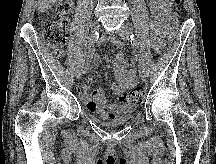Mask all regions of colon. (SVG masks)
<instances>
[{
  "mask_svg": "<svg viewBox=\"0 0 216 164\" xmlns=\"http://www.w3.org/2000/svg\"><path fill=\"white\" fill-rule=\"evenodd\" d=\"M181 0H174V10L169 17L171 36L176 39L179 34V12ZM73 8V0H60L55 7L54 18L44 27L43 39L52 47L57 55H62L66 43L69 14ZM146 97L145 89L137 86L124 96L125 102L131 105L141 104Z\"/></svg>",
  "mask_w": 216,
  "mask_h": 164,
  "instance_id": "1",
  "label": "colon"
}]
</instances>
